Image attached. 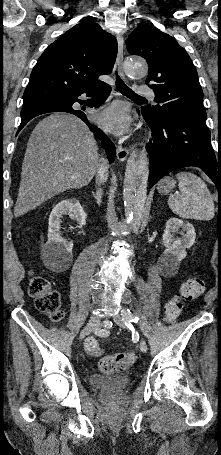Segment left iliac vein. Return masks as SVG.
<instances>
[{
    "label": "left iliac vein",
    "instance_id": "1",
    "mask_svg": "<svg viewBox=\"0 0 221 455\" xmlns=\"http://www.w3.org/2000/svg\"><path fill=\"white\" fill-rule=\"evenodd\" d=\"M113 320L117 325H119L121 327H125L124 320H123V317L121 314L114 316ZM140 350L143 353H145L147 351V344L144 340L140 341Z\"/></svg>",
    "mask_w": 221,
    "mask_h": 455
}]
</instances>
